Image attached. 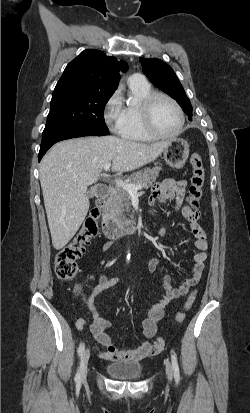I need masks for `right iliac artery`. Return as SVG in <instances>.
I'll use <instances>...</instances> for the list:
<instances>
[{
    "label": "right iliac artery",
    "mask_w": 250,
    "mask_h": 413,
    "mask_svg": "<svg viewBox=\"0 0 250 413\" xmlns=\"http://www.w3.org/2000/svg\"><path fill=\"white\" fill-rule=\"evenodd\" d=\"M84 349H85V344H84V343H81V344L79 345L78 350H77L79 356L82 355ZM80 379H81V378H80V372L78 371L77 374H76V376H75V382H76V383H80Z\"/></svg>",
    "instance_id": "right-iliac-artery-1"
}]
</instances>
